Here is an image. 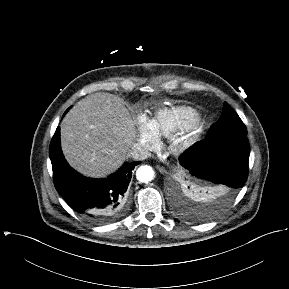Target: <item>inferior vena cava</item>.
Here are the masks:
<instances>
[{
	"instance_id": "obj_1",
	"label": "inferior vena cava",
	"mask_w": 289,
	"mask_h": 289,
	"mask_svg": "<svg viewBox=\"0 0 289 289\" xmlns=\"http://www.w3.org/2000/svg\"><path fill=\"white\" fill-rule=\"evenodd\" d=\"M128 156L134 160H145L148 158L149 152L141 146L134 145L132 146Z\"/></svg>"
}]
</instances>
